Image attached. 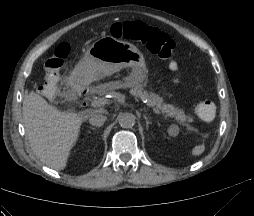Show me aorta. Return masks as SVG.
I'll use <instances>...</instances> for the list:
<instances>
[{"mask_svg": "<svg viewBox=\"0 0 254 216\" xmlns=\"http://www.w3.org/2000/svg\"><path fill=\"white\" fill-rule=\"evenodd\" d=\"M119 125L122 128H132L136 123V117L132 113L124 112L120 113L117 117Z\"/></svg>", "mask_w": 254, "mask_h": 216, "instance_id": "obj_1", "label": "aorta"}]
</instances>
